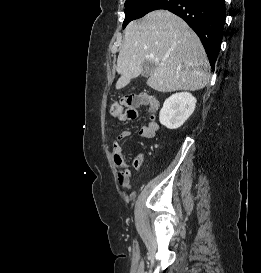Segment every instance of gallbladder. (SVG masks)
Segmentation results:
<instances>
[{"mask_svg":"<svg viewBox=\"0 0 261 273\" xmlns=\"http://www.w3.org/2000/svg\"><path fill=\"white\" fill-rule=\"evenodd\" d=\"M142 69H143V71H142L141 75L144 77H148L153 73V71L155 69V65H154V63H151V62H144L142 64Z\"/></svg>","mask_w":261,"mask_h":273,"instance_id":"obj_1","label":"gallbladder"}]
</instances>
